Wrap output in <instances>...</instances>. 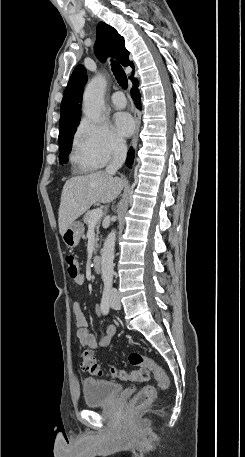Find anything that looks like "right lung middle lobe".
Segmentation results:
<instances>
[{"label":"right lung middle lobe","mask_w":245,"mask_h":457,"mask_svg":"<svg viewBox=\"0 0 245 457\" xmlns=\"http://www.w3.org/2000/svg\"><path fill=\"white\" fill-rule=\"evenodd\" d=\"M78 122H74L65 126L60 127L59 133V161L60 163L67 162V155L71 151V143L73 135L76 131V127L78 126Z\"/></svg>","instance_id":"right-lung-middle-lobe-1"}]
</instances>
